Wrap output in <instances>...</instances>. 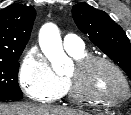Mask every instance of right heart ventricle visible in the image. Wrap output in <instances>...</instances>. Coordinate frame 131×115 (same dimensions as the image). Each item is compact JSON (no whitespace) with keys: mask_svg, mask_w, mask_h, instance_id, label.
Masks as SVG:
<instances>
[{"mask_svg":"<svg viewBox=\"0 0 131 115\" xmlns=\"http://www.w3.org/2000/svg\"><path fill=\"white\" fill-rule=\"evenodd\" d=\"M69 54L77 61V60H80L86 56H88L87 52L83 49L81 51H77V52H69ZM64 81V89L61 93V95L63 94H66L67 91H68V87H67V82L66 80H63Z\"/></svg>","mask_w":131,"mask_h":115,"instance_id":"right-heart-ventricle-1","label":"right heart ventricle"}]
</instances>
